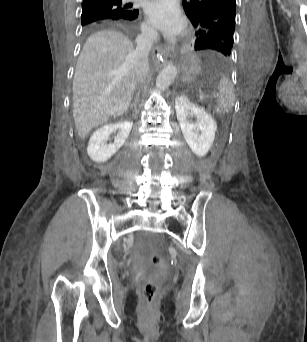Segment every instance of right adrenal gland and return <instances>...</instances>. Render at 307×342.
<instances>
[{"mask_svg": "<svg viewBox=\"0 0 307 342\" xmlns=\"http://www.w3.org/2000/svg\"><path fill=\"white\" fill-rule=\"evenodd\" d=\"M136 104H137V102H136V100H134V102L132 104V108H135Z\"/></svg>", "mask_w": 307, "mask_h": 342, "instance_id": "right-adrenal-gland-1", "label": "right adrenal gland"}]
</instances>
